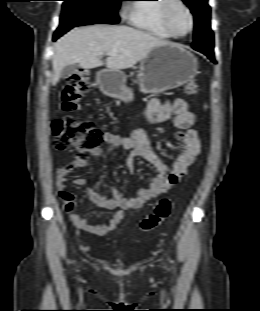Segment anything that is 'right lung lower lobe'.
Wrapping results in <instances>:
<instances>
[{
  "label": "right lung lower lobe",
  "mask_w": 260,
  "mask_h": 311,
  "mask_svg": "<svg viewBox=\"0 0 260 311\" xmlns=\"http://www.w3.org/2000/svg\"><path fill=\"white\" fill-rule=\"evenodd\" d=\"M71 28H73V27H71ZM71 28H65L63 30L57 29L55 34H54L53 40L55 41L57 38H59L61 35H63L67 31H69Z\"/></svg>",
  "instance_id": "98d812e1"
}]
</instances>
